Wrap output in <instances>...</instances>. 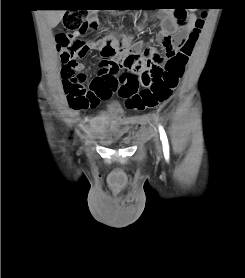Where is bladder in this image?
<instances>
[{
	"instance_id": "obj_1",
	"label": "bladder",
	"mask_w": 245,
	"mask_h": 278,
	"mask_svg": "<svg viewBox=\"0 0 245 278\" xmlns=\"http://www.w3.org/2000/svg\"><path fill=\"white\" fill-rule=\"evenodd\" d=\"M111 127L103 134L102 140L109 145L129 146L133 143L131 129L117 123L119 118L124 116V109L118 102H112L109 105V111L106 114Z\"/></svg>"
}]
</instances>
